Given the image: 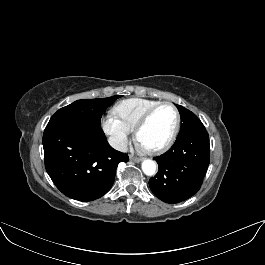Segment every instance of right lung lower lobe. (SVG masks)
<instances>
[{"mask_svg":"<svg viewBox=\"0 0 265 265\" xmlns=\"http://www.w3.org/2000/svg\"><path fill=\"white\" fill-rule=\"evenodd\" d=\"M46 171L66 196L92 201L112 187L128 155L113 149L100 126L73 119L50 120L43 134Z\"/></svg>","mask_w":265,"mask_h":265,"instance_id":"1","label":"right lung lower lobe"}]
</instances>
